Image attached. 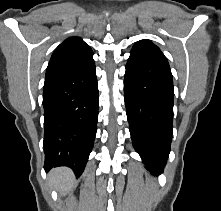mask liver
<instances>
[{
  "mask_svg": "<svg viewBox=\"0 0 221 211\" xmlns=\"http://www.w3.org/2000/svg\"><path fill=\"white\" fill-rule=\"evenodd\" d=\"M74 180L72 170L66 167L55 168L49 172L51 185L64 195L74 187Z\"/></svg>",
  "mask_w": 221,
  "mask_h": 211,
  "instance_id": "obj_1",
  "label": "liver"
}]
</instances>
